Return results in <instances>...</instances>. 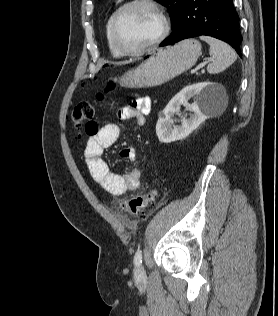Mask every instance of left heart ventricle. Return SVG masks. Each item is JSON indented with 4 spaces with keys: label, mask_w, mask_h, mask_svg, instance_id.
Listing matches in <instances>:
<instances>
[{
    "label": "left heart ventricle",
    "mask_w": 278,
    "mask_h": 316,
    "mask_svg": "<svg viewBox=\"0 0 278 316\" xmlns=\"http://www.w3.org/2000/svg\"><path fill=\"white\" fill-rule=\"evenodd\" d=\"M160 31V21L148 6L136 5L119 18L118 38L128 49H138L153 41Z\"/></svg>",
    "instance_id": "obj_1"
}]
</instances>
